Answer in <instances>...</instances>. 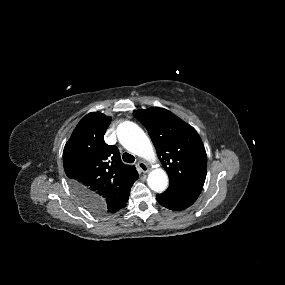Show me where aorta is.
I'll return each instance as SVG.
<instances>
[{
	"mask_svg": "<svg viewBox=\"0 0 285 285\" xmlns=\"http://www.w3.org/2000/svg\"><path fill=\"white\" fill-rule=\"evenodd\" d=\"M117 136L124 148L131 153L149 161L156 160V152L151 141L134 122H122L117 129ZM168 182V176L161 168L152 170L147 179L150 189L158 193L166 190Z\"/></svg>",
	"mask_w": 285,
	"mask_h": 285,
	"instance_id": "obj_1",
	"label": "aorta"
}]
</instances>
